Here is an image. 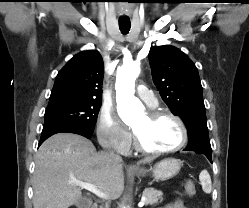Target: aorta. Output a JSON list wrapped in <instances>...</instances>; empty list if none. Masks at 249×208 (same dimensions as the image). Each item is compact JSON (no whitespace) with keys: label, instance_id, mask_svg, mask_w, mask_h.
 Instances as JSON below:
<instances>
[{"label":"aorta","instance_id":"obj_1","mask_svg":"<svg viewBox=\"0 0 249 208\" xmlns=\"http://www.w3.org/2000/svg\"><path fill=\"white\" fill-rule=\"evenodd\" d=\"M139 73L140 67L135 63L123 64L117 70L115 89L118 115L127 124L143 115L144 112L143 104L134 96L135 80Z\"/></svg>","mask_w":249,"mask_h":208}]
</instances>
